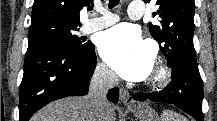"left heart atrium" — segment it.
I'll return each instance as SVG.
<instances>
[{"label":"left heart atrium","instance_id":"1","mask_svg":"<svg viewBox=\"0 0 217 121\" xmlns=\"http://www.w3.org/2000/svg\"><path fill=\"white\" fill-rule=\"evenodd\" d=\"M98 48L103 60L124 79L143 80L153 69L152 48L131 26L119 25L104 32Z\"/></svg>","mask_w":217,"mask_h":121}]
</instances>
